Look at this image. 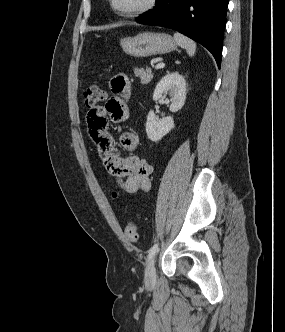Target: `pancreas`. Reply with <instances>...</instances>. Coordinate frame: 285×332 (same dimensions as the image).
<instances>
[{"label":"pancreas","mask_w":285,"mask_h":332,"mask_svg":"<svg viewBox=\"0 0 285 332\" xmlns=\"http://www.w3.org/2000/svg\"><path fill=\"white\" fill-rule=\"evenodd\" d=\"M134 74L136 77L140 78V83L144 85L148 84L153 78V74L149 68L146 70L143 68H134Z\"/></svg>","instance_id":"obj_1"}]
</instances>
